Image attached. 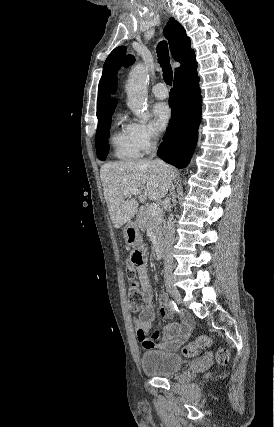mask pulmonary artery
<instances>
[{"label":"pulmonary artery","mask_w":274,"mask_h":427,"mask_svg":"<svg viewBox=\"0 0 274 427\" xmlns=\"http://www.w3.org/2000/svg\"><path fill=\"white\" fill-rule=\"evenodd\" d=\"M152 93L160 99H164L169 95V89L163 83H158L152 87Z\"/></svg>","instance_id":"1"}]
</instances>
